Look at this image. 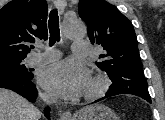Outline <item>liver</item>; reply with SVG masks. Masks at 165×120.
<instances>
[{
	"instance_id": "obj_1",
	"label": "liver",
	"mask_w": 165,
	"mask_h": 120,
	"mask_svg": "<svg viewBox=\"0 0 165 120\" xmlns=\"http://www.w3.org/2000/svg\"><path fill=\"white\" fill-rule=\"evenodd\" d=\"M40 111L25 98L0 89V120H39Z\"/></svg>"
}]
</instances>
